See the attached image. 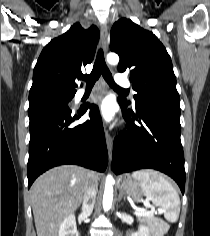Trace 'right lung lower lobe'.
<instances>
[{"instance_id":"98d812e1","label":"right lung lower lobe","mask_w":210,"mask_h":236,"mask_svg":"<svg viewBox=\"0 0 210 236\" xmlns=\"http://www.w3.org/2000/svg\"><path fill=\"white\" fill-rule=\"evenodd\" d=\"M88 107L90 120L72 127ZM29 118L28 188L40 174L58 165L77 164L105 171L108 152L96 105H87L76 114H72L70 108H50L33 113Z\"/></svg>"}]
</instances>
